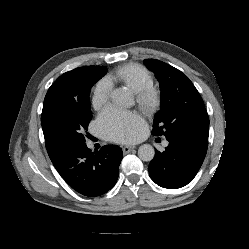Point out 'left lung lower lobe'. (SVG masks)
<instances>
[{
  "instance_id": "left-lung-lower-lobe-1",
  "label": "left lung lower lobe",
  "mask_w": 249,
  "mask_h": 249,
  "mask_svg": "<svg viewBox=\"0 0 249 249\" xmlns=\"http://www.w3.org/2000/svg\"><path fill=\"white\" fill-rule=\"evenodd\" d=\"M206 152V145L169 141L164 152L155 150V157L148 167L150 177L163 188H181L195 177L204 161Z\"/></svg>"
}]
</instances>
